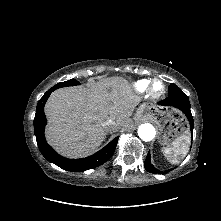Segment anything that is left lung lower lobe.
I'll return each mask as SVG.
<instances>
[{"label":"left lung lower lobe","instance_id":"obj_1","mask_svg":"<svg viewBox=\"0 0 221 221\" xmlns=\"http://www.w3.org/2000/svg\"><path fill=\"white\" fill-rule=\"evenodd\" d=\"M159 105L173 107V108H177V109L181 110L186 115V117L189 121L190 130L193 135L194 122H193V117H192L191 110H190L191 106H190L189 99L185 93H178V94L169 95L166 99L160 101ZM144 165H145V169L148 172L153 173V174H157V173L165 174L170 171V170L165 171V172L158 171L151 164L150 153H148Z\"/></svg>","mask_w":221,"mask_h":221}]
</instances>
